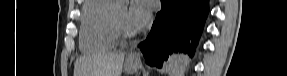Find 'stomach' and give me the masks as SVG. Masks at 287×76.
I'll list each match as a JSON object with an SVG mask.
<instances>
[{
	"label": "stomach",
	"mask_w": 287,
	"mask_h": 76,
	"mask_svg": "<svg viewBox=\"0 0 287 76\" xmlns=\"http://www.w3.org/2000/svg\"><path fill=\"white\" fill-rule=\"evenodd\" d=\"M140 67V62L132 59L131 57H127L124 64V70L128 74H133L137 71V69Z\"/></svg>",
	"instance_id": "obj_1"
}]
</instances>
